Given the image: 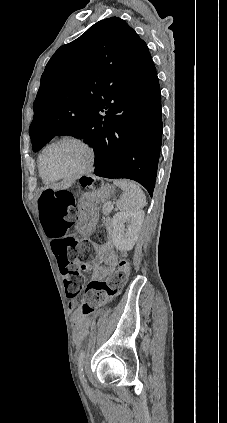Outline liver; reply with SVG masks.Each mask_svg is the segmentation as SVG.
I'll use <instances>...</instances> for the list:
<instances>
[{
    "label": "liver",
    "mask_w": 227,
    "mask_h": 423,
    "mask_svg": "<svg viewBox=\"0 0 227 423\" xmlns=\"http://www.w3.org/2000/svg\"><path fill=\"white\" fill-rule=\"evenodd\" d=\"M70 184H66V182H61V184H53V186H50L52 190H66V188H69Z\"/></svg>",
    "instance_id": "6515ba94"
}]
</instances>
